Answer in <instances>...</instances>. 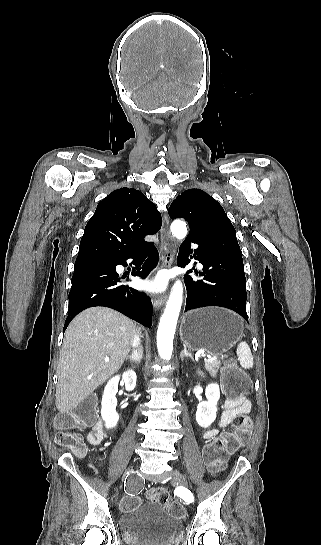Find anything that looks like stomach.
<instances>
[{
    "instance_id": "stomach-1",
    "label": "stomach",
    "mask_w": 321,
    "mask_h": 545,
    "mask_svg": "<svg viewBox=\"0 0 321 545\" xmlns=\"http://www.w3.org/2000/svg\"><path fill=\"white\" fill-rule=\"evenodd\" d=\"M244 327L240 317L221 307H205L185 313L180 337L192 351L222 355L241 339Z\"/></svg>"
}]
</instances>
